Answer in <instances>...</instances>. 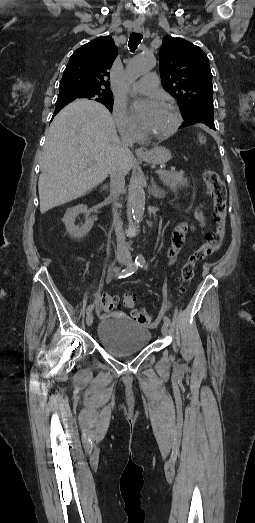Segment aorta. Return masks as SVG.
<instances>
[{
  "label": "aorta",
  "instance_id": "aorta-1",
  "mask_svg": "<svg viewBox=\"0 0 255 523\" xmlns=\"http://www.w3.org/2000/svg\"><path fill=\"white\" fill-rule=\"evenodd\" d=\"M156 65V58L152 54H141L134 57L127 66L126 80L128 83L134 82L143 74L149 72ZM132 204V215L134 223L139 225L142 221L145 210V192L140 180H136L130 193ZM141 255L137 259L141 260Z\"/></svg>",
  "mask_w": 255,
  "mask_h": 523
}]
</instances>
